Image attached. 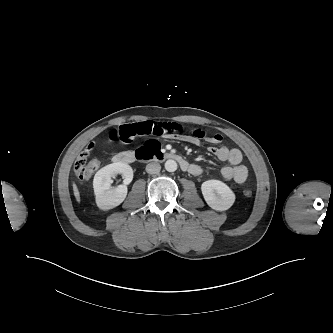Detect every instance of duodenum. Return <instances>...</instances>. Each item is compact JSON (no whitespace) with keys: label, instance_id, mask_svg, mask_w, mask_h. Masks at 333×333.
Returning <instances> with one entry per match:
<instances>
[{"label":"duodenum","instance_id":"obj_1","mask_svg":"<svg viewBox=\"0 0 333 333\" xmlns=\"http://www.w3.org/2000/svg\"><path fill=\"white\" fill-rule=\"evenodd\" d=\"M176 161L181 169L190 172L193 169V164H190L184 157L176 153L155 152L150 148H142L137 151L126 150L119 153L115 157V162L122 164H130L134 161Z\"/></svg>","mask_w":333,"mask_h":333}]
</instances>
